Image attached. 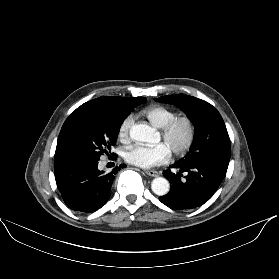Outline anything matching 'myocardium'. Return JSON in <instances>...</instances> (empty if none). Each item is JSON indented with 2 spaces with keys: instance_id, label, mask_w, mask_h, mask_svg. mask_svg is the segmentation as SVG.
Returning a JSON list of instances; mask_svg holds the SVG:
<instances>
[{
  "instance_id": "1",
  "label": "myocardium",
  "mask_w": 279,
  "mask_h": 279,
  "mask_svg": "<svg viewBox=\"0 0 279 279\" xmlns=\"http://www.w3.org/2000/svg\"><path fill=\"white\" fill-rule=\"evenodd\" d=\"M180 123H185L188 128V133L185 142L180 148L172 149L171 152L175 156L185 155L192 147L196 137V124L194 120L188 115H177L171 119L166 125L160 128V134L163 140H167L176 126Z\"/></svg>"
}]
</instances>
